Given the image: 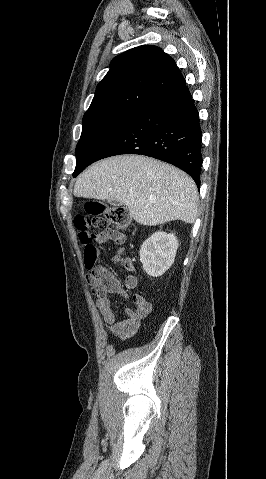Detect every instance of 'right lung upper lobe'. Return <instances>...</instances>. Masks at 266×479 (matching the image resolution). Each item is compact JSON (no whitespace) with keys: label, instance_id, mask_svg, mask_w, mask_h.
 <instances>
[{"label":"right lung upper lobe","instance_id":"1","mask_svg":"<svg viewBox=\"0 0 266 479\" xmlns=\"http://www.w3.org/2000/svg\"><path fill=\"white\" fill-rule=\"evenodd\" d=\"M184 83L175 61L161 48L142 45L130 49L112 60L84 117L118 109L142 110Z\"/></svg>","mask_w":266,"mask_h":479}]
</instances>
